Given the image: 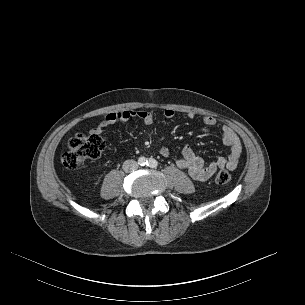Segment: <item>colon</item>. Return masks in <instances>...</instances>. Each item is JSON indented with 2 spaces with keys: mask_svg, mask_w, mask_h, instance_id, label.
Masks as SVG:
<instances>
[{
  "mask_svg": "<svg viewBox=\"0 0 305 305\" xmlns=\"http://www.w3.org/2000/svg\"><path fill=\"white\" fill-rule=\"evenodd\" d=\"M105 148V139L101 134L90 132L88 134H75L68 141L67 151L62 155L61 161L67 169H76L90 160L101 156ZM231 180L227 170H221L215 177L216 183L224 185Z\"/></svg>",
  "mask_w": 305,
  "mask_h": 305,
  "instance_id": "5ec220e1",
  "label": "colon"
}]
</instances>
